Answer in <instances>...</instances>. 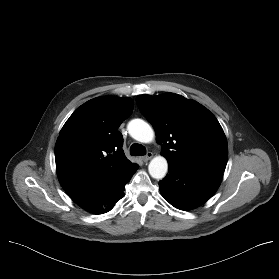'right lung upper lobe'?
<instances>
[{
	"instance_id": "cb5924a9",
	"label": "right lung upper lobe",
	"mask_w": 279,
	"mask_h": 279,
	"mask_svg": "<svg viewBox=\"0 0 279 279\" xmlns=\"http://www.w3.org/2000/svg\"><path fill=\"white\" fill-rule=\"evenodd\" d=\"M134 107L131 98L103 96L77 108L60 131L55 161L61 186L72 198L97 191L133 169L117 130Z\"/></svg>"
}]
</instances>
